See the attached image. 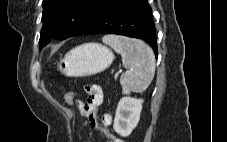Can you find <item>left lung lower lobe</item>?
I'll use <instances>...</instances> for the list:
<instances>
[{"mask_svg": "<svg viewBox=\"0 0 227 142\" xmlns=\"http://www.w3.org/2000/svg\"><path fill=\"white\" fill-rule=\"evenodd\" d=\"M87 34H118L142 39L151 45L157 57L155 27L147 0H108L72 36Z\"/></svg>", "mask_w": 227, "mask_h": 142, "instance_id": "0a47b994", "label": "left lung lower lobe"}]
</instances>
